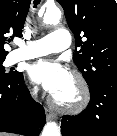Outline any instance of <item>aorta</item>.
Segmentation results:
<instances>
[{
  "label": "aorta",
  "mask_w": 117,
  "mask_h": 136,
  "mask_svg": "<svg viewBox=\"0 0 117 136\" xmlns=\"http://www.w3.org/2000/svg\"><path fill=\"white\" fill-rule=\"evenodd\" d=\"M61 11L58 8H49L46 10L43 22L45 24H56L60 21ZM41 136H61L60 127L56 122H49L42 130Z\"/></svg>",
  "instance_id": "obj_1"
}]
</instances>
